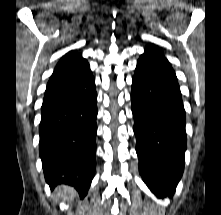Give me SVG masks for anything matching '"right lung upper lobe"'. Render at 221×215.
I'll use <instances>...</instances> for the list:
<instances>
[{
  "label": "right lung upper lobe",
  "mask_w": 221,
  "mask_h": 215,
  "mask_svg": "<svg viewBox=\"0 0 221 215\" xmlns=\"http://www.w3.org/2000/svg\"><path fill=\"white\" fill-rule=\"evenodd\" d=\"M89 70V64L86 59L82 58L81 53L77 50L70 51L58 62L46 90L69 82Z\"/></svg>",
  "instance_id": "right-lung-upper-lobe-1"
}]
</instances>
